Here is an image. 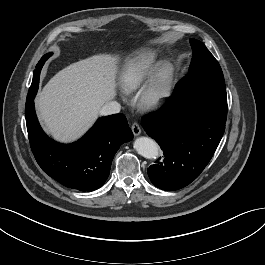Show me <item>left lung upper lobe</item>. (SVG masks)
I'll return each mask as SVG.
<instances>
[{"label":"left lung upper lobe","mask_w":265,"mask_h":265,"mask_svg":"<svg viewBox=\"0 0 265 265\" xmlns=\"http://www.w3.org/2000/svg\"><path fill=\"white\" fill-rule=\"evenodd\" d=\"M190 44L193 58L188 74L176 86L175 101L200 105L226 120L227 96L221 67L202 42L190 39Z\"/></svg>","instance_id":"obj_1"}]
</instances>
